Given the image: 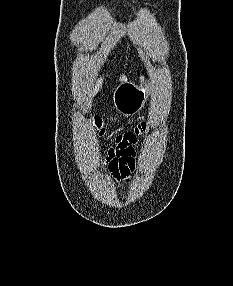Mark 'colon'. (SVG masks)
<instances>
[{"label":"colon","instance_id":"colon-1","mask_svg":"<svg viewBox=\"0 0 233 286\" xmlns=\"http://www.w3.org/2000/svg\"><path fill=\"white\" fill-rule=\"evenodd\" d=\"M93 124L95 126V128L97 129V131L99 132L100 135L105 134L106 129L103 125L102 119L100 117H94L93 118Z\"/></svg>","mask_w":233,"mask_h":286}]
</instances>
